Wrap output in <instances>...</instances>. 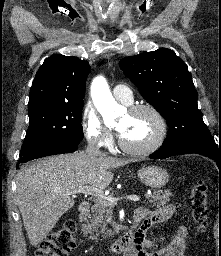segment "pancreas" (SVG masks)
<instances>
[{
	"label": "pancreas",
	"mask_w": 221,
	"mask_h": 256,
	"mask_svg": "<svg viewBox=\"0 0 221 256\" xmlns=\"http://www.w3.org/2000/svg\"><path fill=\"white\" fill-rule=\"evenodd\" d=\"M172 192L170 190L154 191L152 195L146 196V204L150 207H160L170 201ZM112 207L105 199H96L91 207L92 215L89 217L88 231L91 233L92 239H97L102 235L103 239L112 238L114 231L108 229L107 224L112 222ZM95 233V234H94Z\"/></svg>",
	"instance_id": "cf45deb5"
}]
</instances>
